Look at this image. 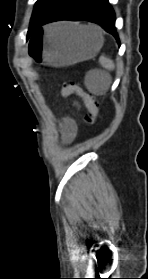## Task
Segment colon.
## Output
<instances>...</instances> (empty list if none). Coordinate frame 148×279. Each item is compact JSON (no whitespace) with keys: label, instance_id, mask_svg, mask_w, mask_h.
Masks as SVG:
<instances>
[{"label":"colon","instance_id":"obj_1","mask_svg":"<svg viewBox=\"0 0 148 279\" xmlns=\"http://www.w3.org/2000/svg\"><path fill=\"white\" fill-rule=\"evenodd\" d=\"M60 93L64 96L76 95L86 105L88 109V115L86 116V122L88 124H94L99 116V106L96 98L87 92L78 83H64L61 87Z\"/></svg>","mask_w":148,"mask_h":279}]
</instances>
